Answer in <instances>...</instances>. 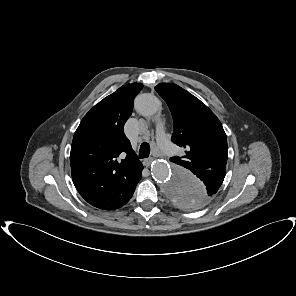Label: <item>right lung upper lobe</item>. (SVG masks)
Segmentation results:
<instances>
[{"label": "right lung upper lobe", "mask_w": 296, "mask_h": 296, "mask_svg": "<svg viewBox=\"0 0 296 296\" xmlns=\"http://www.w3.org/2000/svg\"><path fill=\"white\" fill-rule=\"evenodd\" d=\"M141 83L126 84L96 104L82 119L71 146L72 179L80 195L103 210L132 197L143 165L123 132Z\"/></svg>", "instance_id": "1"}]
</instances>
